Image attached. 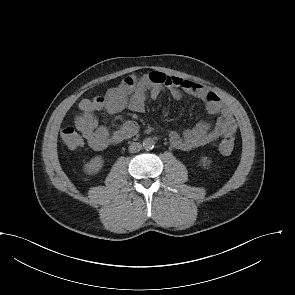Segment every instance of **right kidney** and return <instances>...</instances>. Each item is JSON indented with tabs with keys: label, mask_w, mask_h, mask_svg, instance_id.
I'll return each instance as SVG.
<instances>
[{
	"label": "right kidney",
	"mask_w": 295,
	"mask_h": 295,
	"mask_svg": "<svg viewBox=\"0 0 295 295\" xmlns=\"http://www.w3.org/2000/svg\"><path fill=\"white\" fill-rule=\"evenodd\" d=\"M103 163L104 160L101 156L94 157L84 165V171L87 174H96L101 170Z\"/></svg>",
	"instance_id": "1"
}]
</instances>
